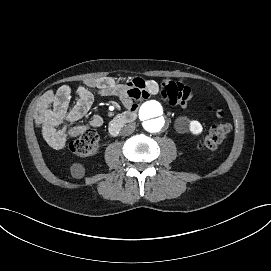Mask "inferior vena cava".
<instances>
[{"label":"inferior vena cava","mask_w":271,"mask_h":271,"mask_svg":"<svg viewBox=\"0 0 271 271\" xmlns=\"http://www.w3.org/2000/svg\"><path fill=\"white\" fill-rule=\"evenodd\" d=\"M129 127H133L132 124H128L127 126H125V128H128V129Z\"/></svg>","instance_id":"602c4592"}]
</instances>
